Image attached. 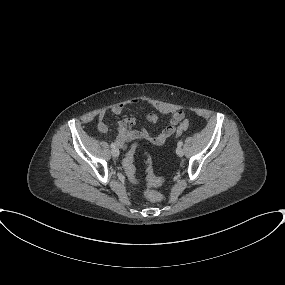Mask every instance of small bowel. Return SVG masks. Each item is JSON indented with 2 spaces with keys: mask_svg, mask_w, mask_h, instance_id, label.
<instances>
[{
  "mask_svg": "<svg viewBox=\"0 0 285 285\" xmlns=\"http://www.w3.org/2000/svg\"><path fill=\"white\" fill-rule=\"evenodd\" d=\"M137 103H139L138 100H133L129 104L134 105ZM125 107L126 104H115L112 106L111 112L115 115H120L123 113ZM184 116L185 114L183 111H176L172 115L169 124L164 127V129L158 134H152L145 129H142L140 131L134 130V119L124 118L122 120H119L115 125L117 134L114 142L120 148H125L128 143L136 142L139 140H145L157 146L163 145L168 140V138H170L177 131L180 122L184 119ZM98 119V131L105 132L108 129V125L105 121L106 113L101 112L98 116ZM146 119L150 124H155L158 121V117L154 113L147 114Z\"/></svg>",
  "mask_w": 285,
  "mask_h": 285,
  "instance_id": "c3829d8e",
  "label": "small bowel"
}]
</instances>
